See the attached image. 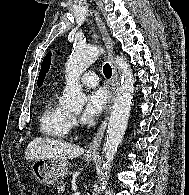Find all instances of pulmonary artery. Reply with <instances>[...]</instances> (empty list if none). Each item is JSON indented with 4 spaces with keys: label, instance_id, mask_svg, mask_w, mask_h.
<instances>
[{
    "label": "pulmonary artery",
    "instance_id": "e3ab8cb5",
    "mask_svg": "<svg viewBox=\"0 0 189 195\" xmlns=\"http://www.w3.org/2000/svg\"><path fill=\"white\" fill-rule=\"evenodd\" d=\"M81 81L85 86L93 87L98 85V77L95 73L93 72H85L82 77Z\"/></svg>",
    "mask_w": 189,
    "mask_h": 195
}]
</instances>
